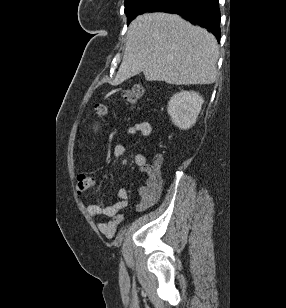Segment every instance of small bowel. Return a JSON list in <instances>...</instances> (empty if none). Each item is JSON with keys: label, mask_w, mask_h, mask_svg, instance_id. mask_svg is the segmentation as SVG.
<instances>
[{"label": "small bowel", "mask_w": 286, "mask_h": 308, "mask_svg": "<svg viewBox=\"0 0 286 308\" xmlns=\"http://www.w3.org/2000/svg\"><path fill=\"white\" fill-rule=\"evenodd\" d=\"M153 126L148 121L138 122L127 129L126 135L131 137L137 133L149 137L152 135ZM127 151L126 143H120L115 147L116 157H122ZM135 163L141 172L147 176L146 181L139 188V198L136 209L139 212L154 206L160 198L162 192L163 179L159 171L160 158H157L153 164L149 163L148 156L139 152L135 155ZM118 201L111 205H106L102 201L98 204H91L86 207L90 216L108 217V221L99 222L97 228L106 237H112L118 225L123 221V216L119 213L128 204V191L121 187L117 190Z\"/></svg>", "instance_id": "1"}]
</instances>
